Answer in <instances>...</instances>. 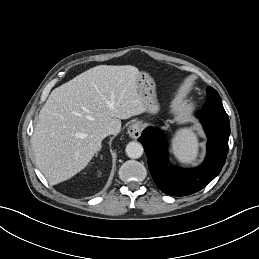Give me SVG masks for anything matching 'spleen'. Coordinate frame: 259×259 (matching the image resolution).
<instances>
[{"mask_svg":"<svg viewBox=\"0 0 259 259\" xmlns=\"http://www.w3.org/2000/svg\"><path fill=\"white\" fill-rule=\"evenodd\" d=\"M199 146L197 134L190 127L180 128L172 138L173 153L184 164H191L197 159Z\"/></svg>","mask_w":259,"mask_h":259,"instance_id":"3e777b00","label":"spleen"}]
</instances>
